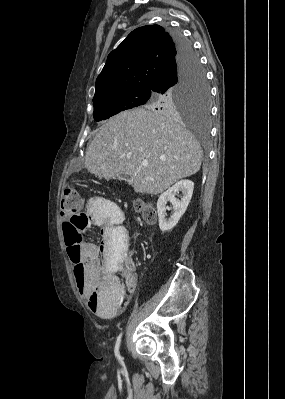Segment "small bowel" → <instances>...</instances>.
I'll list each match as a JSON object with an SVG mask.
<instances>
[{"label":"small bowel","instance_id":"c3829d8e","mask_svg":"<svg viewBox=\"0 0 285 399\" xmlns=\"http://www.w3.org/2000/svg\"><path fill=\"white\" fill-rule=\"evenodd\" d=\"M84 211L88 227L100 228L102 243L99 245L84 241L80 244L78 264L84 267V274L79 291L87 297L88 305L95 315L110 318L121 305H126L125 288L116 274H121L128 290L133 292L136 286L135 264L128 255L118 259L119 224L122 223L123 215L100 197L86 201ZM108 214L110 217L107 219Z\"/></svg>","mask_w":285,"mask_h":399}]
</instances>
